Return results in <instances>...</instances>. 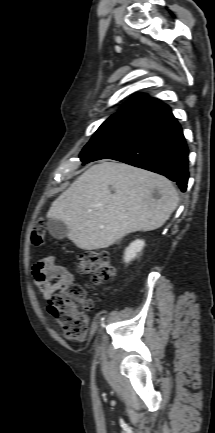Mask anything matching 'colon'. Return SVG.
<instances>
[{"label":"colon","mask_w":215,"mask_h":433,"mask_svg":"<svg viewBox=\"0 0 215 433\" xmlns=\"http://www.w3.org/2000/svg\"><path fill=\"white\" fill-rule=\"evenodd\" d=\"M32 244L40 247L45 242V220L38 218L31 233ZM79 272L90 275L95 284L109 280L114 275L107 250L88 251L81 254ZM93 301L85 289L74 284L61 294H54L48 302V311L57 321L64 335L72 340L83 341L88 332V313L93 310Z\"/></svg>","instance_id":"5ec220e1"}]
</instances>
